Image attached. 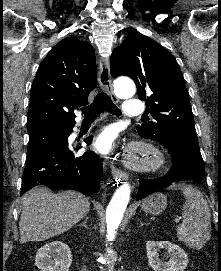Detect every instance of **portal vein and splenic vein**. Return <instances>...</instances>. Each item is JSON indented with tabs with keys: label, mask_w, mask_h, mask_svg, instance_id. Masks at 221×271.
Wrapping results in <instances>:
<instances>
[{
	"label": "portal vein and splenic vein",
	"mask_w": 221,
	"mask_h": 271,
	"mask_svg": "<svg viewBox=\"0 0 221 271\" xmlns=\"http://www.w3.org/2000/svg\"><path fill=\"white\" fill-rule=\"evenodd\" d=\"M172 217H173V218H177V219H175V221H179V219H180L178 213H173V214H172Z\"/></svg>",
	"instance_id": "obj_1"
}]
</instances>
